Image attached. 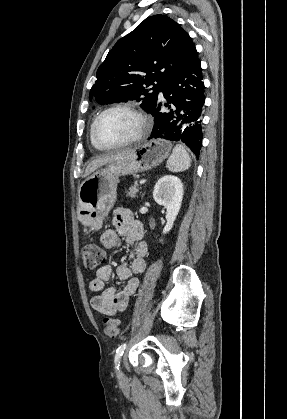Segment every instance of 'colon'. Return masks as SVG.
Wrapping results in <instances>:
<instances>
[{"label": "colon", "instance_id": "colon-1", "mask_svg": "<svg viewBox=\"0 0 287 419\" xmlns=\"http://www.w3.org/2000/svg\"><path fill=\"white\" fill-rule=\"evenodd\" d=\"M82 257L85 268L94 271L104 264L106 252L96 243H88L82 249ZM104 332L108 337L114 338L119 333V320L106 317L104 319Z\"/></svg>", "mask_w": 287, "mask_h": 419}]
</instances>
